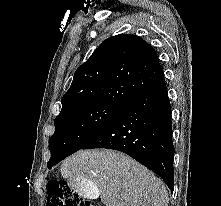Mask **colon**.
Masks as SVG:
<instances>
[{
    "label": "colon",
    "instance_id": "colon-1",
    "mask_svg": "<svg viewBox=\"0 0 221 206\" xmlns=\"http://www.w3.org/2000/svg\"><path fill=\"white\" fill-rule=\"evenodd\" d=\"M46 190V206H100L84 198H79V195L74 194V190L63 180L49 181Z\"/></svg>",
    "mask_w": 221,
    "mask_h": 206
}]
</instances>
